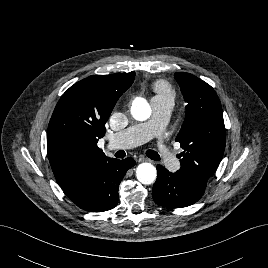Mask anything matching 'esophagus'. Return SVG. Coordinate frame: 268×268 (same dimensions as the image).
Segmentation results:
<instances>
[{"mask_svg":"<svg viewBox=\"0 0 268 268\" xmlns=\"http://www.w3.org/2000/svg\"><path fill=\"white\" fill-rule=\"evenodd\" d=\"M146 161H149V159L145 156H139L138 159H137V162H146Z\"/></svg>","mask_w":268,"mask_h":268,"instance_id":"esophagus-1","label":"esophagus"}]
</instances>
